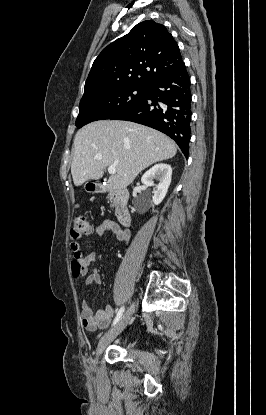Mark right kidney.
Here are the masks:
<instances>
[{"instance_id":"right-kidney-1","label":"right kidney","mask_w":266,"mask_h":415,"mask_svg":"<svg viewBox=\"0 0 266 415\" xmlns=\"http://www.w3.org/2000/svg\"><path fill=\"white\" fill-rule=\"evenodd\" d=\"M172 168L170 165L160 163L150 168L141 178V182L147 186H154V180H158L152 201L159 205L165 198L169 185L171 183Z\"/></svg>"}]
</instances>
